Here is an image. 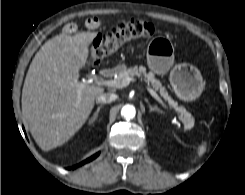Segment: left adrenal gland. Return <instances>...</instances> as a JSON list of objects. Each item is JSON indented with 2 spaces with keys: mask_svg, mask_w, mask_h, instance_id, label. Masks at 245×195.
<instances>
[{
  "mask_svg": "<svg viewBox=\"0 0 245 195\" xmlns=\"http://www.w3.org/2000/svg\"><path fill=\"white\" fill-rule=\"evenodd\" d=\"M149 110H150V112L162 113L161 110L157 106H153L150 103H149Z\"/></svg>",
  "mask_w": 245,
  "mask_h": 195,
  "instance_id": "obj_1",
  "label": "left adrenal gland"
}]
</instances>
